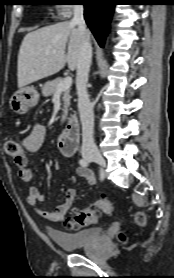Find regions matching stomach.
<instances>
[{
	"instance_id": "obj_1",
	"label": "stomach",
	"mask_w": 174,
	"mask_h": 278,
	"mask_svg": "<svg viewBox=\"0 0 174 278\" xmlns=\"http://www.w3.org/2000/svg\"><path fill=\"white\" fill-rule=\"evenodd\" d=\"M39 101V93L34 87H24L13 93L10 98V109L17 114H25Z\"/></svg>"
}]
</instances>
